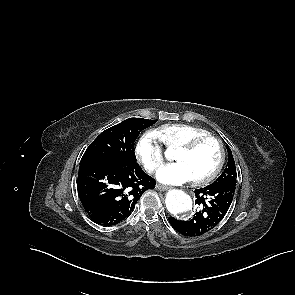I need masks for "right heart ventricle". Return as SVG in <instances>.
<instances>
[{
  "mask_svg": "<svg viewBox=\"0 0 295 295\" xmlns=\"http://www.w3.org/2000/svg\"><path fill=\"white\" fill-rule=\"evenodd\" d=\"M154 132L166 147L174 149H178L195 137L209 134L205 129L187 124H167Z\"/></svg>",
  "mask_w": 295,
  "mask_h": 295,
  "instance_id": "obj_1",
  "label": "right heart ventricle"
}]
</instances>
